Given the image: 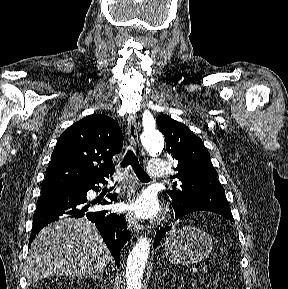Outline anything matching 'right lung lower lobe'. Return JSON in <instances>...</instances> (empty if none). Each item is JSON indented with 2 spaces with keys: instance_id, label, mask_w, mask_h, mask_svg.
I'll return each instance as SVG.
<instances>
[{
  "instance_id": "right-lung-lower-lobe-1",
  "label": "right lung lower lobe",
  "mask_w": 288,
  "mask_h": 289,
  "mask_svg": "<svg viewBox=\"0 0 288 289\" xmlns=\"http://www.w3.org/2000/svg\"><path fill=\"white\" fill-rule=\"evenodd\" d=\"M99 183L105 184L107 182L105 179H100L76 188L63 189L55 194L41 195L33 215V229L30 242L44 226L52 221L62 217L81 218L85 216L88 220L95 223L117 266H119L120 250L130 240V235L123 215L110 214L106 210H89L93 203L87 201V192L90 189L97 191L98 187L95 184ZM107 196L111 202L115 200L114 194ZM111 202L103 201L102 204L106 205Z\"/></svg>"
}]
</instances>
